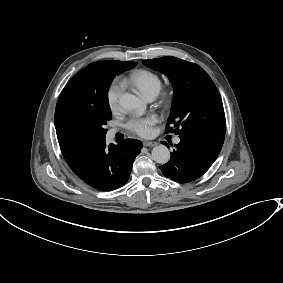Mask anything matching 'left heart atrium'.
<instances>
[{"label": "left heart atrium", "instance_id": "left-heart-atrium-1", "mask_svg": "<svg viewBox=\"0 0 283 283\" xmlns=\"http://www.w3.org/2000/svg\"><path fill=\"white\" fill-rule=\"evenodd\" d=\"M156 118L154 116H147V117H132L128 122V127L140 134V135H148L151 132V126L155 123Z\"/></svg>", "mask_w": 283, "mask_h": 283}]
</instances>
